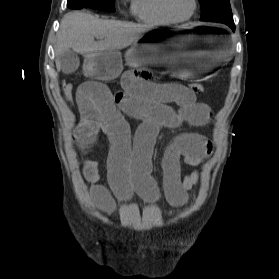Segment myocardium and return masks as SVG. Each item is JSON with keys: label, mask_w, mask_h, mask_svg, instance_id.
I'll use <instances>...</instances> for the list:
<instances>
[{"label": "myocardium", "mask_w": 279, "mask_h": 279, "mask_svg": "<svg viewBox=\"0 0 279 279\" xmlns=\"http://www.w3.org/2000/svg\"><path fill=\"white\" fill-rule=\"evenodd\" d=\"M160 6L161 9L163 11V13L165 14L166 17H168L171 21H173L174 23H183V22H187L190 19H192V17L195 15L197 9H198V0H193V9L191 11V13L184 18H178L175 17L168 9L167 7V0H160Z\"/></svg>", "instance_id": "obj_1"}]
</instances>
